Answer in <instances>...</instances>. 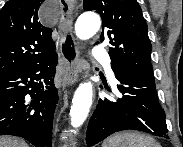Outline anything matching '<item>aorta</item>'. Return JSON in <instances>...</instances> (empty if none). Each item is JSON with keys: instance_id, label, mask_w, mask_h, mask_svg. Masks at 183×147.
I'll return each instance as SVG.
<instances>
[{"instance_id": "obj_1", "label": "aorta", "mask_w": 183, "mask_h": 147, "mask_svg": "<svg viewBox=\"0 0 183 147\" xmlns=\"http://www.w3.org/2000/svg\"><path fill=\"white\" fill-rule=\"evenodd\" d=\"M101 26L100 17L95 13H83L77 19L75 25L76 35L81 40H86L98 32ZM93 98V86L91 82L79 85L74 93L70 109L71 125L79 128L86 120Z\"/></svg>"}]
</instances>
